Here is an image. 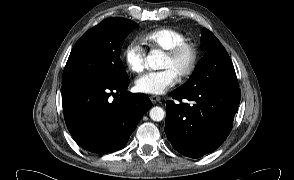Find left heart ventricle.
Listing matches in <instances>:
<instances>
[{"label": "left heart ventricle", "instance_id": "b2bd125f", "mask_svg": "<svg viewBox=\"0 0 294 180\" xmlns=\"http://www.w3.org/2000/svg\"><path fill=\"white\" fill-rule=\"evenodd\" d=\"M188 62V53H184L176 59H171L164 55L161 62V67L170 68L176 75H178L187 66Z\"/></svg>", "mask_w": 294, "mask_h": 180}]
</instances>
